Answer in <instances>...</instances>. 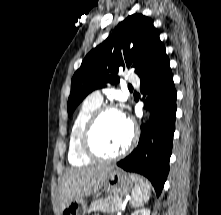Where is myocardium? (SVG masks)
<instances>
[{
    "instance_id": "myocardium-1",
    "label": "myocardium",
    "mask_w": 221,
    "mask_h": 215,
    "mask_svg": "<svg viewBox=\"0 0 221 215\" xmlns=\"http://www.w3.org/2000/svg\"><path fill=\"white\" fill-rule=\"evenodd\" d=\"M108 112L120 113V111L113 105H101L92 113L82 130L80 137V146L83 153L92 160L113 161L120 159L126 156L133 149L137 141V132L135 126L132 122L126 120L130 128V138L127 145L120 152L113 155H104L98 152L93 146L92 136L99 120L104 114Z\"/></svg>"
}]
</instances>
